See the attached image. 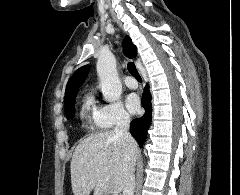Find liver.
Listing matches in <instances>:
<instances>
[{
	"mask_svg": "<svg viewBox=\"0 0 240 195\" xmlns=\"http://www.w3.org/2000/svg\"><path fill=\"white\" fill-rule=\"evenodd\" d=\"M137 143L126 145L113 129L88 135L75 147L71 159V185L74 195L120 193L137 159Z\"/></svg>",
	"mask_w": 240,
	"mask_h": 195,
	"instance_id": "1",
	"label": "liver"
}]
</instances>
